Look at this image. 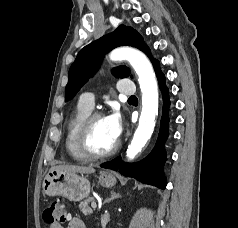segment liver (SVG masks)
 <instances>
[{
  "mask_svg": "<svg viewBox=\"0 0 238 228\" xmlns=\"http://www.w3.org/2000/svg\"><path fill=\"white\" fill-rule=\"evenodd\" d=\"M50 170H58L67 173H81V174H90L95 172V169L93 167L77 166V165H58L52 167Z\"/></svg>",
  "mask_w": 238,
  "mask_h": 228,
  "instance_id": "obj_1",
  "label": "liver"
}]
</instances>
